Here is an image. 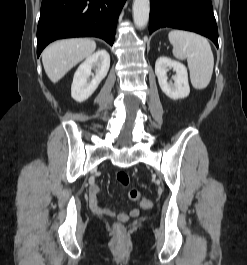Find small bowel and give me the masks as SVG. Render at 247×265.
Masks as SVG:
<instances>
[{"instance_id":"small-bowel-1","label":"small bowel","mask_w":247,"mask_h":265,"mask_svg":"<svg viewBox=\"0 0 247 265\" xmlns=\"http://www.w3.org/2000/svg\"><path fill=\"white\" fill-rule=\"evenodd\" d=\"M98 189L93 188L90 192L89 204L91 209L98 214L107 216V217H118L121 220H127L129 217H136L139 215V210L137 208L132 209L129 213L120 212L107 208L100 205L98 201Z\"/></svg>"}]
</instances>
